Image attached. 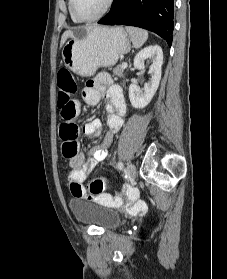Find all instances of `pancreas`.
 <instances>
[{
	"label": "pancreas",
	"mask_w": 227,
	"mask_h": 279,
	"mask_svg": "<svg viewBox=\"0 0 227 279\" xmlns=\"http://www.w3.org/2000/svg\"><path fill=\"white\" fill-rule=\"evenodd\" d=\"M113 73L118 77H122L124 73V69L121 67V65H118L113 69Z\"/></svg>",
	"instance_id": "obj_1"
}]
</instances>
